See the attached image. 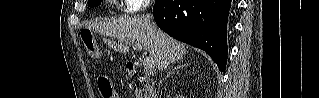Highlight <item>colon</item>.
I'll return each mask as SVG.
<instances>
[{
	"mask_svg": "<svg viewBox=\"0 0 319 98\" xmlns=\"http://www.w3.org/2000/svg\"><path fill=\"white\" fill-rule=\"evenodd\" d=\"M81 39L87 54L92 58H98L100 56V51L95 43L92 32L87 29L82 30ZM97 83L103 98H115L112 85L107 78L100 77Z\"/></svg>",
	"mask_w": 319,
	"mask_h": 98,
	"instance_id": "5ec220e1",
	"label": "colon"
}]
</instances>
